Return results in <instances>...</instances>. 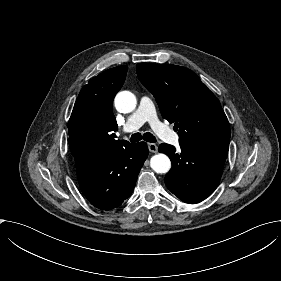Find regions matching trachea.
I'll use <instances>...</instances> for the list:
<instances>
[{
    "instance_id": "obj_1",
    "label": "trachea",
    "mask_w": 281,
    "mask_h": 281,
    "mask_svg": "<svg viewBox=\"0 0 281 281\" xmlns=\"http://www.w3.org/2000/svg\"><path fill=\"white\" fill-rule=\"evenodd\" d=\"M142 138L147 142H156L157 141L155 136H153L151 133H145L143 136H141L140 133H134L131 136L130 141L134 143V142L140 141Z\"/></svg>"
}]
</instances>
